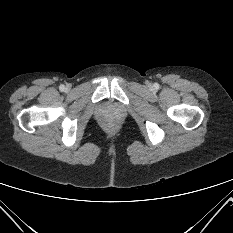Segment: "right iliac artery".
Returning <instances> with one entry per match:
<instances>
[{
  "label": "right iliac artery",
  "instance_id": "1",
  "mask_svg": "<svg viewBox=\"0 0 233 233\" xmlns=\"http://www.w3.org/2000/svg\"><path fill=\"white\" fill-rule=\"evenodd\" d=\"M59 89H60L61 91H63V90L65 89V86H64V85H60V86H59Z\"/></svg>",
  "mask_w": 233,
  "mask_h": 233
}]
</instances>
